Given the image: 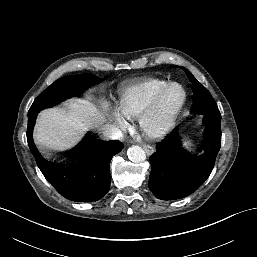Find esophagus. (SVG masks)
<instances>
[{"instance_id":"esophagus-1","label":"esophagus","mask_w":257,"mask_h":257,"mask_svg":"<svg viewBox=\"0 0 257 257\" xmlns=\"http://www.w3.org/2000/svg\"><path fill=\"white\" fill-rule=\"evenodd\" d=\"M143 149L147 153V155H151L154 153V149L150 145H143Z\"/></svg>"}]
</instances>
